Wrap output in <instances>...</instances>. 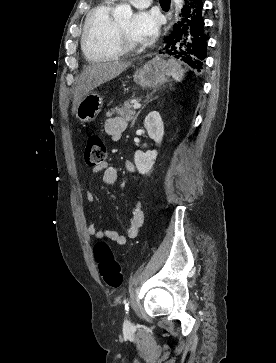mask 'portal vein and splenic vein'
Wrapping results in <instances>:
<instances>
[{
  "label": "portal vein and splenic vein",
  "instance_id": "obj_1",
  "mask_svg": "<svg viewBox=\"0 0 276 363\" xmlns=\"http://www.w3.org/2000/svg\"><path fill=\"white\" fill-rule=\"evenodd\" d=\"M141 107L140 103H134L133 108L134 109H139Z\"/></svg>",
  "mask_w": 276,
  "mask_h": 363
}]
</instances>
